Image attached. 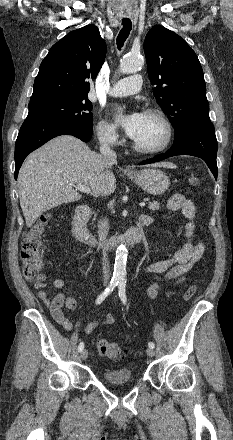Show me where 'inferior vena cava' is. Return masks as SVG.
<instances>
[{
	"mask_svg": "<svg viewBox=\"0 0 233 440\" xmlns=\"http://www.w3.org/2000/svg\"><path fill=\"white\" fill-rule=\"evenodd\" d=\"M100 152L101 155L106 159L107 162L114 164L117 162L116 153L110 149L107 140H102L100 142ZM98 237L102 245V266H103V278L104 283H107L110 279V268L108 261V232H109V222L108 219H101L98 223Z\"/></svg>",
	"mask_w": 233,
	"mask_h": 440,
	"instance_id": "602c4592",
	"label": "inferior vena cava"
}]
</instances>
